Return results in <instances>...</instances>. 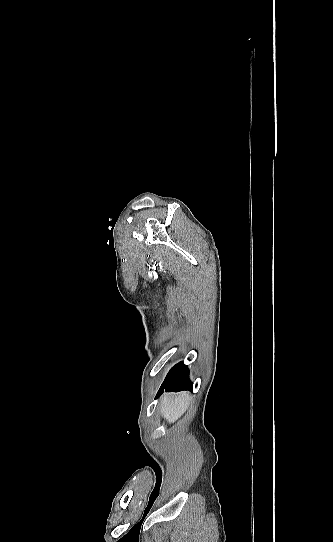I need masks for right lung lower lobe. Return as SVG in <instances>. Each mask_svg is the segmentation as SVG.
Here are the masks:
<instances>
[{"label":"right lung lower lobe","instance_id":"1","mask_svg":"<svg viewBox=\"0 0 333 542\" xmlns=\"http://www.w3.org/2000/svg\"><path fill=\"white\" fill-rule=\"evenodd\" d=\"M192 387L193 383L189 380V369L183 362H180L171 368L158 394L162 393L164 389L166 391H180L191 390Z\"/></svg>","mask_w":333,"mask_h":542}]
</instances>
